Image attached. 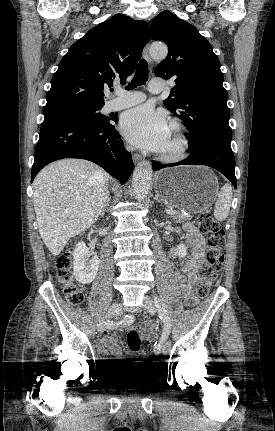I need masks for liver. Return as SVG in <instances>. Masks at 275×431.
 Returning <instances> with one entry per match:
<instances>
[{"label":"liver","instance_id":"6515ba94","mask_svg":"<svg viewBox=\"0 0 275 431\" xmlns=\"http://www.w3.org/2000/svg\"><path fill=\"white\" fill-rule=\"evenodd\" d=\"M109 176L83 159H63L42 169L34 180L39 233L53 256L70 238L92 226L108 198Z\"/></svg>","mask_w":275,"mask_h":431}]
</instances>
